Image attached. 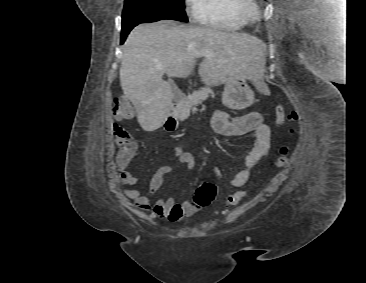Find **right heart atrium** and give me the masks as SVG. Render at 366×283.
I'll use <instances>...</instances> for the list:
<instances>
[{"label": "right heart atrium", "mask_w": 366, "mask_h": 283, "mask_svg": "<svg viewBox=\"0 0 366 283\" xmlns=\"http://www.w3.org/2000/svg\"><path fill=\"white\" fill-rule=\"evenodd\" d=\"M205 0H184L185 8L190 16L200 20L203 13Z\"/></svg>", "instance_id": "d8ad5b80"}]
</instances>
